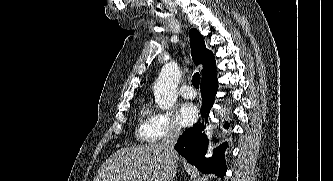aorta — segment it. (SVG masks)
Returning <instances> with one entry per match:
<instances>
[{
    "mask_svg": "<svg viewBox=\"0 0 333 181\" xmlns=\"http://www.w3.org/2000/svg\"><path fill=\"white\" fill-rule=\"evenodd\" d=\"M181 77L177 63L165 64L154 85V97L156 104L161 109H171L177 100V85Z\"/></svg>",
    "mask_w": 333,
    "mask_h": 181,
    "instance_id": "1",
    "label": "aorta"
}]
</instances>
